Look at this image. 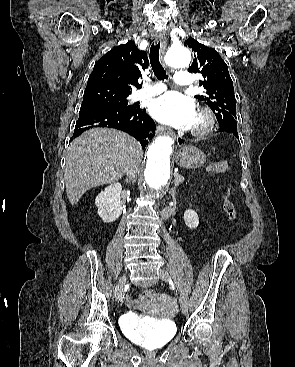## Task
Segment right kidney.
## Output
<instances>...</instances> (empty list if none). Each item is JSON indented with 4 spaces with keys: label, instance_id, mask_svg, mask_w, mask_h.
Wrapping results in <instances>:
<instances>
[{
    "label": "right kidney",
    "instance_id": "ca27d5eb",
    "mask_svg": "<svg viewBox=\"0 0 295 367\" xmlns=\"http://www.w3.org/2000/svg\"><path fill=\"white\" fill-rule=\"evenodd\" d=\"M122 186L119 183L109 185L95 199L98 215L105 223L116 221L122 214Z\"/></svg>",
    "mask_w": 295,
    "mask_h": 367
}]
</instances>
